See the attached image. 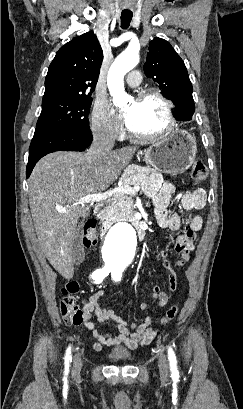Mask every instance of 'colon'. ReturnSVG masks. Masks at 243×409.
Segmentation results:
<instances>
[{
    "instance_id": "obj_1",
    "label": "colon",
    "mask_w": 243,
    "mask_h": 409,
    "mask_svg": "<svg viewBox=\"0 0 243 409\" xmlns=\"http://www.w3.org/2000/svg\"><path fill=\"white\" fill-rule=\"evenodd\" d=\"M191 176L197 183L203 182L208 176L206 165L201 160L193 162L191 167ZM97 243V234L95 231V223L88 222L85 226L83 234V244L85 247H93ZM79 291L77 282L67 283L61 290V299L59 303L60 314L68 325H79L84 320L83 310L76 304L73 295ZM179 308L173 305L167 309L160 320V324L164 325L172 321L178 314Z\"/></svg>"
}]
</instances>
